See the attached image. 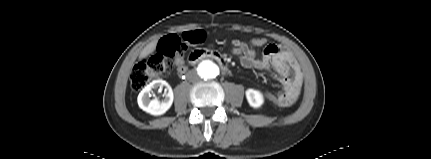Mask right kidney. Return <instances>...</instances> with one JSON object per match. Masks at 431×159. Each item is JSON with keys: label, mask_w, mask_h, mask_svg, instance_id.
<instances>
[{"label": "right kidney", "mask_w": 431, "mask_h": 159, "mask_svg": "<svg viewBox=\"0 0 431 159\" xmlns=\"http://www.w3.org/2000/svg\"><path fill=\"white\" fill-rule=\"evenodd\" d=\"M165 87L164 98L162 100L158 98L150 99L152 93L156 90H162ZM174 95L169 84L162 80H154L148 84L138 95L137 102L139 107L145 112L158 116L164 114L173 103Z\"/></svg>", "instance_id": "ca27d5eb"}]
</instances>
